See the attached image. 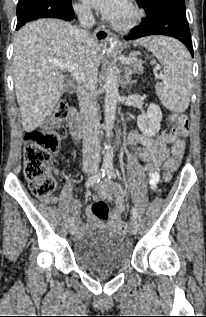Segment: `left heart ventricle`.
I'll return each instance as SVG.
<instances>
[{
    "label": "left heart ventricle",
    "mask_w": 206,
    "mask_h": 317,
    "mask_svg": "<svg viewBox=\"0 0 206 317\" xmlns=\"http://www.w3.org/2000/svg\"><path fill=\"white\" fill-rule=\"evenodd\" d=\"M130 15L129 8L125 2L122 3L120 8L118 9L114 19L124 20Z\"/></svg>",
    "instance_id": "left-heart-ventricle-1"
}]
</instances>
